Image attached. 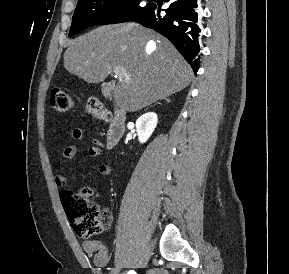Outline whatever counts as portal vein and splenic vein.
Segmentation results:
<instances>
[{
  "mask_svg": "<svg viewBox=\"0 0 289 274\" xmlns=\"http://www.w3.org/2000/svg\"><path fill=\"white\" fill-rule=\"evenodd\" d=\"M113 73L115 74L116 77H118L120 82L128 79V76L125 73V69L121 66L114 67Z\"/></svg>",
  "mask_w": 289,
  "mask_h": 274,
  "instance_id": "1",
  "label": "portal vein and splenic vein"
}]
</instances>
